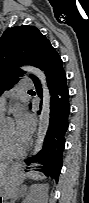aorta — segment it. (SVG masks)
<instances>
[{"label": "aorta", "instance_id": "aorta-1", "mask_svg": "<svg viewBox=\"0 0 89 203\" xmlns=\"http://www.w3.org/2000/svg\"><path fill=\"white\" fill-rule=\"evenodd\" d=\"M23 69L34 74L40 80L43 89V105L38 121V129L32 151V155H36L42 150L44 139L48 131L50 121L51 95L47 86L46 75L40 69L33 66H24Z\"/></svg>", "mask_w": 89, "mask_h": 203}]
</instances>
